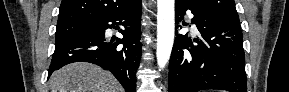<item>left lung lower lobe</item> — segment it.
I'll list each match as a JSON object with an SVG mask.
<instances>
[{
	"instance_id": "obj_1",
	"label": "left lung lower lobe",
	"mask_w": 289,
	"mask_h": 92,
	"mask_svg": "<svg viewBox=\"0 0 289 92\" xmlns=\"http://www.w3.org/2000/svg\"><path fill=\"white\" fill-rule=\"evenodd\" d=\"M186 10L194 15L200 36L194 41L176 33L169 62L168 92L224 89L247 92L240 23L221 17L189 0H175L176 22ZM183 25L184 21H183Z\"/></svg>"
}]
</instances>
